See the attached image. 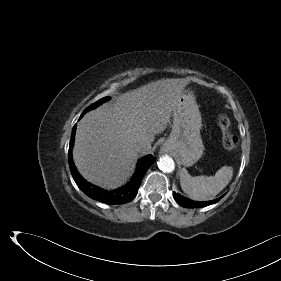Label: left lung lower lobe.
Returning <instances> with one entry per match:
<instances>
[{
    "label": "left lung lower lobe",
    "mask_w": 281,
    "mask_h": 281,
    "mask_svg": "<svg viewBox=\"0 0 281 281\" xmlns=\"http://www.w3.org/2000/svg\"><path fill=\"white\" fill-rule=\"evenodd\" d=\"M223 196H221L220 198H217L215 200H211V201L197 202V201H192L188 198H185V197L177 194L176 192H173V197L176 200V202L179 205H181L182 207H185V208L205 207V206H208V205H211V204H214V203L218 202Z\"/></svg>",
    "instance_id": "obj_1"
}]
</instances>
